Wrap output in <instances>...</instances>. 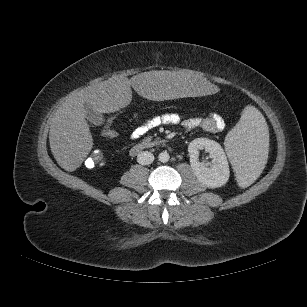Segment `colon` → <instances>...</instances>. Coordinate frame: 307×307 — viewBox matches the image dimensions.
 <instances>
[{"label": "colon", "instance_id": "colon-1", "mask_svg": "<svg viewBox=\"0 0 307 307\" xmlns=\"http://www.w3.org/2000/svg\"><path fill=\"white\" fill-rule=\"evenodd\" d=\"M116 114H119V112L116 113ZM114 118H115V115H111V116L107 117L105 124L103 125L102 134L106 138L113 139V138L117 137V135H118L117 131L114 128H112V126H111V124L114 121ZM106 162H107L106 156L100 150L92 151L87 156V158L85 159V165L88 168L102 167L106 164Z\"/></svg>", "mask_w": 307, "mask_h": 307}]
</instances>
